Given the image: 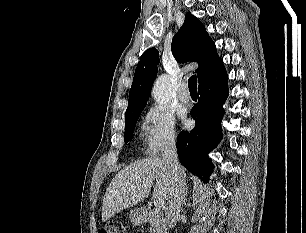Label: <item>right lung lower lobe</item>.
Instances as JSON below:
<instances>
[{"mask_svg":"<svg viewBox=\"0 0 306 233\" xmlns=\"http://www.w3.org/2000/svg\"><path fill=\"white\" fill-rule=\"evenodd\" d=\"M228 76L224 66L199 82L200 98L191 110L195 127L180 132L177 138L178 156L183 166L204 182L213 172L208 153L222 137V107L228 96Z\"/></svg>","mask_w":306,"mask_h":233,"instance_id":"98d812e1","label":"right lung lower lobe"}]
</instances>
